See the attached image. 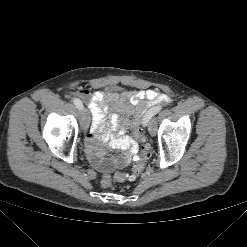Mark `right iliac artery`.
<instances>
[{
    "label": "right iliac artery",
    "mask_w": 247,
    "mask_h": 247,
    "mask_svg": "<svg viewBox=\"0 0 247 247\" xmlns=\"http://www.w3.org/2000/svg\"><path fill=\"white\" fill-rule=\"evenodd\" d=\"M73 103L76 105V107H77L79 110H82V109H83V104H82V102H81L80 99L74 98V99H73Z\"/></svg>",
    "instance_id": "obj_1"
}]
</instances>
